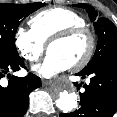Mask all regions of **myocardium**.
Masks as SVG:
<instances>
[{"instance_id":"1","label":"myocardium","mask_w":117,"mask_h":117,"mask_svg":"<svg viewBox=\"0 0 117 117\" xmlns=\"http://www.w3.org/2000/svg\"><path fill=\"white\" fill-rule=\"evenodd\" d=\"M85 36L88 39V48L85 55L75 64L70 66L72 70H81L92 60L96 49V37L93 31L87 26H76L68 28L54 35L48 42L47 51L56 43H63L73 38Z\"/></svg>"}]
</instances>
